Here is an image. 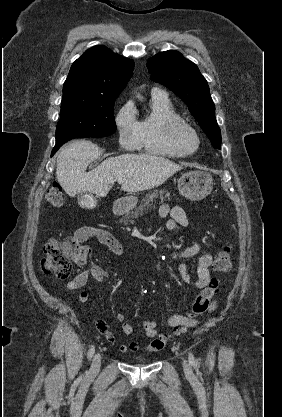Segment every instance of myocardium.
Wrapping results in <instances>:
<instances>
[{
	"label": "myocardium",
	"mask_w": 282,
	"mask_h": 417,
	"mask_svg": "<svg viewBox=\"0 0 282 417\" xmlns=\"http://www.w3.org/2000/svg\"><path fill=\"white\" fill-rule=\"evenodd\" d=\"M167 123L168 134L167 140L169 144L178 150L181 154L190 155L193 150L188 149L184 144V138L190 135L198 142V135L193 128L180 118H165Z\"/></svg>",
	"instance_id": "f54148a6"
}]
</instances>
